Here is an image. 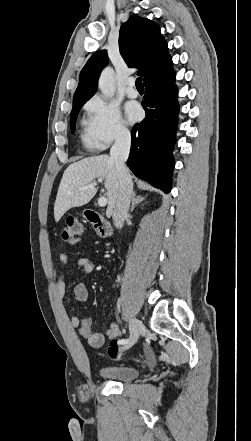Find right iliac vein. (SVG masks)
Listing matches in <instances>:
<instances>
[{
  "mask_svg": "<svg viewBox=\"0 0 251 441\" xmlns=\"http://www.w3.org/2000/svg\"><path fill=\"white\" fill-rule=\"evenodd\" d=\"M129 328H130V336L128 342L122 346L123 350L129 349L137 342L140 332L142 330V324L138 319L132 317L130 319Z\"/></svg>",
  "mask_w": 251,
  "mask_h": 441,
  "instance_id": "obj_1",
  "label": "right iliac vein"
}]
</instances>
